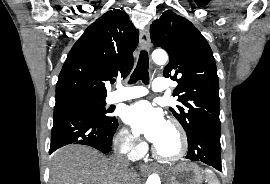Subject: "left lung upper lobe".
<instances>
[{
	"instance_id": "left-lung-upper-lobe-1",
	"label": "left lung upper lobe",
	"mask_w": 270,
	"mask_h": 184,
	"mask_svg": "<svg viewBox=\"0 0 270 184\" xmlns=\"http://www.w3.org/2000/svg\"><path fill=\"white\" fill-rule=\"evenodd\" d=\"M150 37L154 46L169 54L163 74L178 82L174 96L181 103L170 111L187 138L198 131L220 134L219 79L207 40L190 21L171 10L151 24Z\"/></svg>"
}]
</instances>
